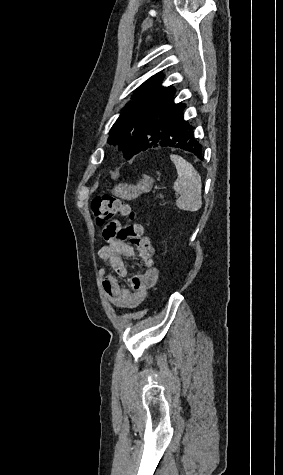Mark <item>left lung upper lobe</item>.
Here are the masks:
<instances>
[{"mask_svg": "<svg viewBox=\"0 0 283 475\" xmlns=\"http://www.w3.org/2000/svg\"><path fill=\"white\" fill-rule=\"evenodd\" d=\"M163 75L156 74L149 78L141 88L136 90L132 101L124 108L119 118L112 126L108 143L116 144L118 138L123 135H139L152 109L169 93L172 87L161 85Z\"/></svg>", "mask_w": 283, "mask_h": 475, "instance_id": "obj_1", "label": "left lung upper lobe"}]
</instances>
